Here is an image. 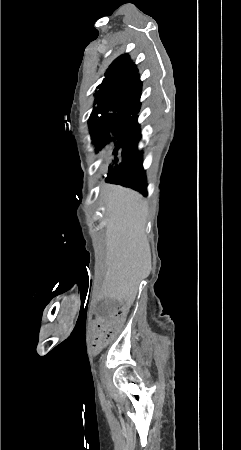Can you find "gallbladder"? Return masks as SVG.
Instances as JSON below:
<instances>
[{"label":"gallbladder","instance_id":"1","mask_svg":"<svg viewBox=\"0 0 241 450\" xmlns=\"http://www.w3.org/2000/svg\"><path fill=\"white\" fill-rule=\"evenodd\" d=\"M97 307H98L97 312L99 314H102L104 312V310H109V311L110 310H114L115 309V302L114 301H98Z\"/></svg>","mask_w":241,"mask_h":450}]
</instances>
